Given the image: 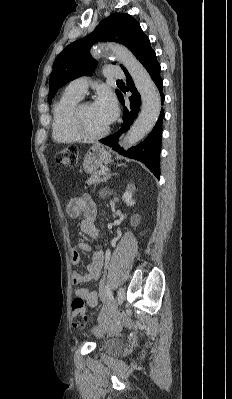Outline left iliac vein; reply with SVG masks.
I'll return each instance as SVG.
<instances>
[{"mask_svg":"<svg viewBox=\"0 0 232 399\" xmlns=\"http://www.w3.org/2000/svg\"><path fill=\"white\" fill-rule=\"evenodd\" d=\"M125 292L126 289L125 288H120L118 291V297H117V302L118 303H123L124 299H125Z\"/></svg>","mask_w":232,"mask_h":399,"instance_id":"left-iliac-vein-1","label":"left iliac vein"}]
</instances>
